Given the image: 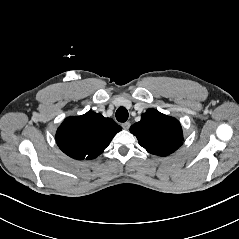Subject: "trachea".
I'll return each instance as SVG.
<instances>
[{
	"label": "trachea",
	"instance_id": "obj_1",
	"mask_svg": "<svg viewBox=\"0 0 239 239\" xmlns=\"http://www.w3.org/2000/svg\"><path fill=\"white\" fill-rule=\"evenodd\" d=\"M128 111L125 107H119L116 111V119L119 122H125L128 119Z\"/></svg>",
	"mask_w": 239,
	"mask_h": 239
}]
</instances>
